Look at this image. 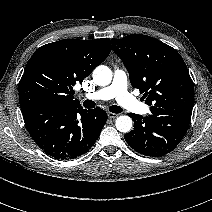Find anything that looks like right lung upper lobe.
<instances>
[{
  "label": "right lung upper lobe",
  "instance_id": "obj_1",
  "mask_svg": "<svg viewBox=\"0 0 212 212\" xmlns=\"http://www.w3.org/2000/svg\"><path fill=\"white\" fill-rule=\"evenodd\" d=\"M111 52L108 38L64 39L38 48L29 59L19 88L22 113L42 106L81 107L73 88Z\"/></svg>",
  "mask_w": 212,
  "mask_h": 212
}]
</instances>
